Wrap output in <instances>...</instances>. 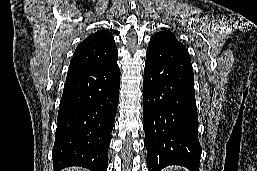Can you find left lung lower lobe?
Returning <instances> with one entry per match:
<instances>
[{"label":"left lung lower lobe","mask_w":257,"mask_h":171,"mask_svg":"<svg viewBox=\"0 0 257 171\" xmlns=\"http://www.w3.org/2000/svg\"><path fill=\"white\" fill-rule=\"evenodd\" d=\"M143 119L148 171L180 165L199 171L202 149L194 75L187 52L147 49L143 81Z\"/></svg>","instance_id":"obj_1"}]
</instances>
